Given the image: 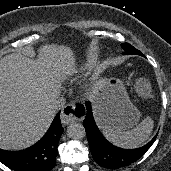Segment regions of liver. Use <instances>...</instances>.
<instances>
[{
    "instance_id": "obj_1",
    "label": "liver",
    "mask_w": 171,
    "mask_h": 171,
    "mask_svg": "<svg viewBox=\"0 0 171 171\" xmlns=\"http://www.w3.org/2000/svg\"><path fill=\"white\" fill-rule=\"evenodd\" d=\"M73 65V52L66 46L45 45L37 60L20 53L0 59V148L23 149L45 134L56 114L59 79L72 72ZM94 99L97 122L103 124L98 117L102 104Z\"/></svg>"
}]
</instances>
